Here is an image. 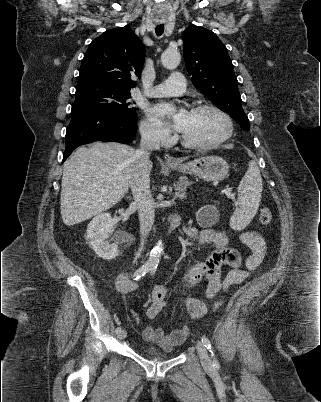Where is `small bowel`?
<instances>
[{
	"instance_id": "small-bowel-1",
	"label": "small bowel",
	"mask_w": 321,
	"mask_h": 402,
	"mask_svg": "<svg viewBox=\"0 0 321 402\" xmlns=\"http://www.w3.org/2000/svg\"><path fill=\"white\" fill-rule=\"evenodd\" d=\"M185 232L192 241L199 245L213 244L215 246V251L207 258L195 263L180 281L181 287L189 288L197 284L202 278H206L208 281L206 295L208 297H213L221 290L226 291L231 286L244 282L259 267L265 256V238L255 230L245 231L239 236L240 242L252 252L246 259H242L239 253L228 245V236L224 231L188 226ZM242 264L245 265L246 269L240 268ZM222 267L231 268L224 278L221 275ZM116 286L121 294H128L136 290L137 283L129 277L127 272H123L118 276ZM166 296V286H154L146 311L149 319L158 318L166 308ZM181 304L189 316L199 317L201 315V313L195 312L199 305L195 299H182ZM142 336L146 342L155 343L165 350H171L174 346L185 341L188 336V328L182 326L171 333H166L161 328L147 326L143 329Z\"/></svg>"
}]
</instances>
